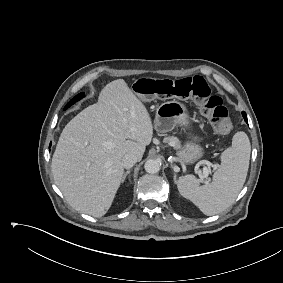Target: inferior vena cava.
Instances as JSON below:
<instances>
[{"mask_svg":"<svg viewBox=\"0 0 283 283\" xmlns=\"http://www.w3.org/2000/svg\"><path fill=\"white\" fill-rule=\"evenodd\" d=\"M138 161V156L134 153H128L122 158V166L126 169L131 168Z\"/></svg>","mask_w":283,"mask_h":283,"instance_id":"1","label":"inferior vena cava"}]
</instances>
